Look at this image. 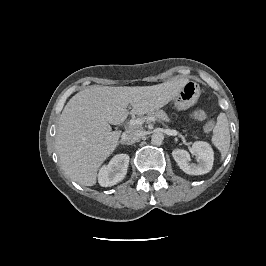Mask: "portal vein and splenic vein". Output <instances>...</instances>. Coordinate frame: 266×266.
Masks as SVG:
<instances>
[{"mask_svg":"<svg viewBox=\"0 0 266 266\" xmlns=\"http://www.w3.org/2000/svg\"><path fill=\"white\" fill-rule=\"evenodd\" d=\"M155 117H149L147 121H155ZM144 123V120L142 119H132L130 120L129 124L130 126H141Z\"/></svg>","mask_w":266,"mask_h":266,"instance_id":"portal-vein-and-splenic-vein-1","label":"portal vein and splenic vein"}]
</instances>
